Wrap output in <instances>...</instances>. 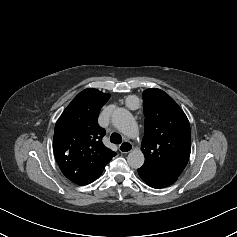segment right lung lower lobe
Segmentation results:
<instances>
[{"mask_svg": "<svg viewBox=\"0 0 237 237\" xmlns=\"http://www.w3.org/2000/svg\"><path fill=\"white\" fill-rule=\"evenodd\" d=\"M63 172V171H62ZM63 174L68 178L70 179L72 182L76 183V184H79V185H85V184H88V183H91L92 181H94L97 177H92V178H83V177H80V178H72V177H69V175H67L65 172H63Z\"/></svg>", "mask_w": 237, "mask_h": 237, "instance_id": "1", "label": "right lung lower lobe"}]
</instances>
